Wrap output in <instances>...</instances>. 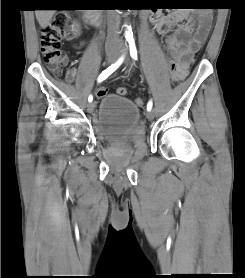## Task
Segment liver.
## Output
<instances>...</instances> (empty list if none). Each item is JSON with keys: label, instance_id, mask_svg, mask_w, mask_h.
<instances>
[{"label": "liver", "instance_id": "6515ba94", "mask_svg": "<svg viewBox=\"0 0 245 278\" xmlns=\"http://www.w3.org/2000/svg\"><path fill=\"white\" fill-rule=\"evenodd\" d=\"M54 14H55V10H36L35 11L36 19L38 20L39 25L43 29H45L49 25Z\"/></svg>", "mask_w": 245, "mask_h": 278}]
</instances>
